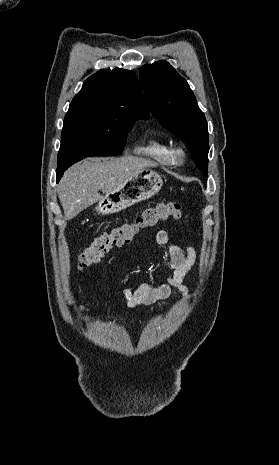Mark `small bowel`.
Segmentation results:
<instances>
[{
    "label": "small bowel",
    "instance_id": "obj_1",
    "mask_svg": "<svg viewBox=\"0 0 279 465\" xmlns=\"http://www.w3.org/2000/svg\"><path fill=\"white\" fill-rule=\"evenodd\" d=\"M155 239L157 243L165 246L168 250L172 274L166 278L164 283L158 286L142 284L136 289H123L121 294L129 307L151 305L157 301L167 299L171 295L172 288H177L181 292L183 300H187L191 296L188 287L184 284V279L196 262L195 249L189 245L183 249L172 244L165 230H159Z\"/></svg>",
    "mask_w": 279,
    "mask_h": 465
}]
</instances>
